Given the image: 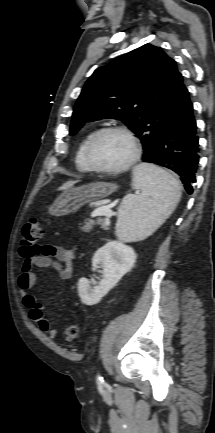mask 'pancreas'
I'll use <instances>...</instances> for the list:
<instances>
[{"label": "pancreas", "instance_id": "cf45deb5", "mask_svg": "<svg viewBox=\"0 0 215 433\" xmlns=\"http://www.w3.org/2000/svg\"><path fill=\"white\" fill-rule=\"evenodd\" d=\"M96 224L101 225V227H102L103 229H106V228H107V225H106V223H105V220H103V219H98V220H96V221H94V220H87V221H85V222L82 224V226L80 227V229H81L82 232H84V233H88V232H90V231L93 229L94 225H96Z\"/></svg>", "mask_w": 215, "mask_h": 433}]
</instances>
